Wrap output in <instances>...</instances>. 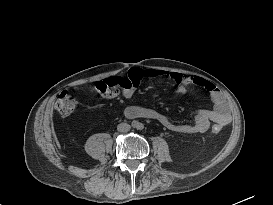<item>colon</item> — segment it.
<instances>
[{
    "mask_svg": "<svg viewBox=\"0 0 273 205\" xmlns=\"http://www.w3.org/2000/svg\"><path fill=\"white\" fill-rule=\"evenodd\" d=\"M142 74L140 70H132L129 74L130 84L137 86L142 80ZM77 106V99L73 92L69 90L63 91L57 98L55 107L57 111L64 116L72 114ZM221 131L220 126L213 125L212 132L219 133Z\"/></svg>",
    "mask_w": 273,
    "mask_h": 205,
    "instance_id": "1",
    "label": "colon"
}]
</instances>
